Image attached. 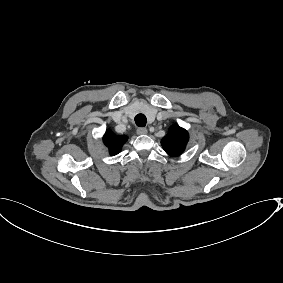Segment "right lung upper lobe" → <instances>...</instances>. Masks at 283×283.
Returning a JSON list of instances; mask_svg holds the SVG:
<instances>
[{"label":"right lung upper lobe","mask_w":283,"mask_h":283,"mask_svg":"<svg viewBox=\"0 0 283 283\" xmlns=\"http://www.w3.org/2000/svg\"><path fill=\"white\" fill-rule=\"evenodd\" d=\"M127 139V136H117L110 130H107L103 137L104 144L108 147L110 155L118 154Z\"/></svg>","instance_id":"cb5924a9"}]
</instances>
